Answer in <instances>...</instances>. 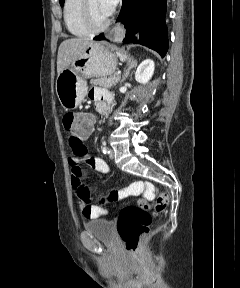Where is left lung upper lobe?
Listing matches in <instances>:
<instances>
[{
    "instance_id": "5c2ea615",
    "label": "left lung upper lobe",
    "mask_w": 240,
    "mask_h": 288,
    "mask_svg": "<svg viewBox=\"0 0 240 288\" xmlns=\"http://www.w3.org/2000/svg\"><path fill=\"white\" fill-rule=\"evenodd\" d=\"M59 2H60V5H63L64 0H59Z\"/></svg>"
}]
</instances>
